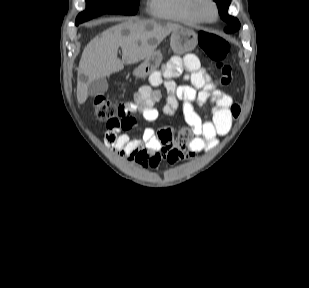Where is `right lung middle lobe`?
<instances>
[{
	"label": "right lung middle lobe",
	"mask_w": 309,
	"mask_h": 288,
	"mask_svg": "<svg viewBox=\"0 0 309 288\" xmlns=\"http://www.w3.org/2000/svg\"><path fill=\"white\" fill-rule=\"evenodd\" d=\"M86 10L76 19V25L107 13L134 15L138 11L139 0H86Z\"/></svg>",
	"instance_id": "right-lung-middle-lobe-1"
}]
</instances>
